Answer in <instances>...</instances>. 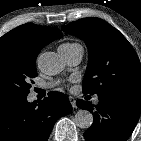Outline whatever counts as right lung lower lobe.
<instances>
[{"instance_id": "obj_1", "label": "right lung lower lobe", "mask_w": 141, "mask_h": 141, "mask_svg": "<svg viewBox=\"0 0 141 141\" xmlns=\"http://www.w3.org/2000/svg\"><path fill=\"white\" fill-rule=\"evenodd\" d=\"M72 111L68 98L51 92L39 104L26 96H0V141H47L63 115Z\"/></svg>"}]
</instances>
